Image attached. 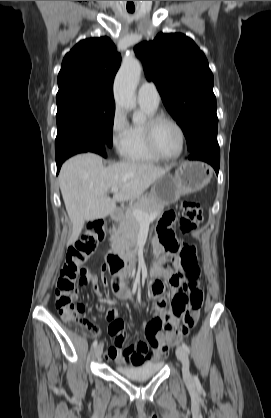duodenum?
Wrapping results in <instances>:
<instances>
[{
  "label": "duodenum",
  "instance_id": "obj_1",
  "mask_svg": "<svg viewBox=\"0 0 271 418\" xmlns=\"http://www.w3.org/2000/svg\"><path fill=\"white\" fill-rule=\"evenodd\" d=\"M121 218V213L115 211L111 214L113 221H118ZM106 262L109 270L113 274H122L132 271L137 265L135 255L130 251H124L118 248H112L106 255Z\"/></svg>",
  "mask_w": 271,
  "mask_h": 418
}]
</instances>
